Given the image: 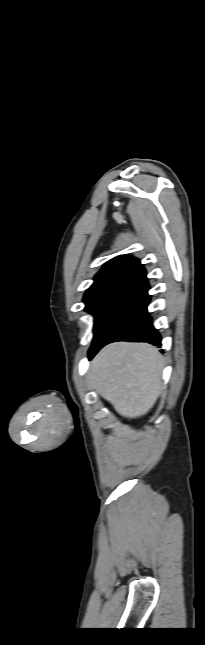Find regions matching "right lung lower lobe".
<instances>
[{
  "label": "right lung lower lobe",
  "instance_id": "98d812e1",
  "mask_svg": "<svg viewBox=\"0 0 205 645\" xmlns=\"http://www.w3.org/2000/svg\"><path fill=\"white\" fill-rule=\"evenodd\" d=\"M115 341L148 342L161 346V337L152 324V318L149 316L147 306L117 330L107 341L104 342L101 348L104 345ZM98 350L89 352V357L92 358Z\"/></svg>",
  "mask_w": 205,
  "mask_h": 645
}]
</instances>
